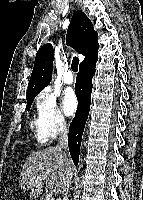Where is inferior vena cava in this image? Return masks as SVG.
<instances>
[{"instance_id": "1", "label": "inferior vena cava", "mask_w": 143, "mask_h": 200, "mask_svg": "<svg viewBox=\"0 0 143 200\" xmlns=\"http://www.w3.org/2000/svg\"><path fill=\"white\" fill-rule=\"evenodd\" d=\"M58 131H59V142L56 147L58 149H63L66 152L68 149V131H67L64 121L60 122ZM70 182H71V178L67 179L66 182L64 183L63 200H69L68 199V191H69V187H70Z\"/></svg>"}]
</instances>
